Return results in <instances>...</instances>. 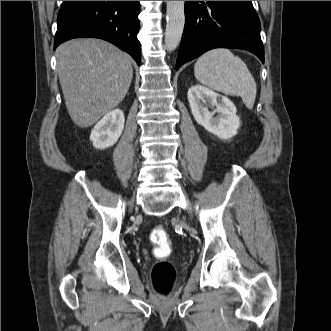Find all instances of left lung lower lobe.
<instances>
[{
  "instance_id": "0a47b994",
  "label": "left lung lower lobe",
  "mask_w": 331,
  "mask_h": 331,
  "mask_svg": "<svg viewBox=\"0 0 331 331\" xmlns=\"http://www.w3.org/2000/svg\"><path fill=\"white\" fill-rule=\"evenodd\" d=\"M185 27L176 69L213 48H238L264 63L260 21L252 1H185Z\"/></svg>"
}]
</instances>
